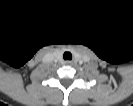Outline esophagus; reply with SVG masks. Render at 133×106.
Instances as JSON below:
<instances>
[{
    "instance_id": "34e87169",
    "label": "esophagus",
    "mask_w": 133,
    "mask_h": 106,
    "mask_svg": "<svg viewBox=\"0 0 133 106\" xmlns=\"http://www.w3.org/2000/svg\"><path fill=\"white\" fill-rule=\"evenodd\" d=\"M65 64L70 65V64H72V62L70 60H66Z\"/></svg>"
}]
</instances>
